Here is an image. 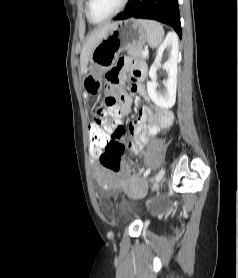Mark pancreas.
I'll return each instance as SVG.
<instances>
[{
  "instance_id": "1",
  "label": "pancreas",
  "mask_w": 238,
  "mask_h": 278,
  "mask_svg": "<svg viewBox=\"0 0 238 278\" xmlns=\"http://www.w3.org/2000/svg\"><path fill=\"white\" fill-rule=\"evenodd\" d=\"M143 47L142 46H129L127 48V53L131 56L140 58V59H145L146 57L143 56Z\"/></svg>"
}]
</instances>
